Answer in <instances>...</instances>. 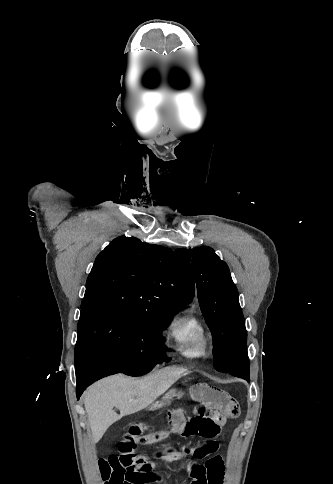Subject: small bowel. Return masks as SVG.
I'll return each mask as SVG.
<instances>
[{
	"mask_svg": "<svg viewBox=\"0 0 333 484\" xmlns=\"http://www.w3.org/2000/svg\"><path fill=\"white\" fill-rule=\"evenodd\" d=\"M190 398L197 402L190 415L176 406L168 413L169 427L179 429L182 437H201L204 442L196 447H187L181 452L168 450L158 454L161 464L171 462L186 463L190 472L188 484H222L224 464L218 454L215 437L220 433L228 418L238 415V403L227 392L214 386L198 383L187 389ZM151 428L146 422L132 425L124 441L119 445V453L99 461V468L105 484H158L161 482L156 465L136 452L135 439ZM207 458L204 464L198 461Z\"/></svg>",
	"mask_w": 333,
	"mask_h": 484,
	"instance_id": "1",
	"label": "small bowel"
}]
</instances>
